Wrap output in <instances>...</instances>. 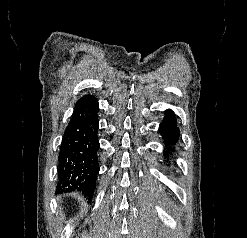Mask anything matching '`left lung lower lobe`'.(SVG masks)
I'll list each match as a JSON object with an SVG mask.
<instances>
[{"label":"left lung lower lobe","mask_w":247,"mask_h":238,"mask_svg":"<svg viewBox=\"0 0 247 238\" xmlns=\"http://www.w3.org/2000/svg\"><path fill=\"white\" fill-rule=\"evenodd\" d=\"M166 117L160 124L159 132L163 136L165 143L170 146L172 144H175L176 141L178 140L179 133L178 130L179 128L177 127L175 115L172 111L167 110L165 112ZM167 146V149H168ZM171 150V149H170ZM169 150V152H170ZM167 158V156H165Z\"/></svg>","instance_id":"left-lung-lower-lobe-1"}]
</instances>
